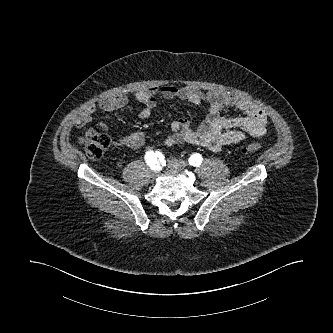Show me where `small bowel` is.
Returning a JSON list of instances; mask_svg holds the SVG:
<instances>
[{
    "label": "small bowel",
    "mask_w": 333,
    "mask_h": 333,
    "mask_svg": "<svg viewBox=\"0 0 333 333\" xmlns=\"http://www.w3.org/2000/svg\"><path fill=\"white\" fill-rule=\"evenodd\" d=\"M157 94L167 100L187 101L207 110L205 120L197 128H192L186 118L173 121L170 125L171 133L165 139V145L168 147L188 143L219 151L226 145L245 140L248 136L260 138L267 133L266 113L252 101L236 94L225 92L204 94L189 86L179 87L173 84L145 88L135 93L136 99L143 105L139 113L140 119L151 116L157 103ZM127 103L128 98L125 94L101 98L77 117L74 124L77 127H84L92 121L97 109L112 112L123 108ZM227 107L239 109L242 115L230 117L222 115ZM144 142V134L137 131L116 138L113 145L116 148L136 150L142 147Z\"/></svg>",
    "instance_id": "obj_1"
}]
</instances>
